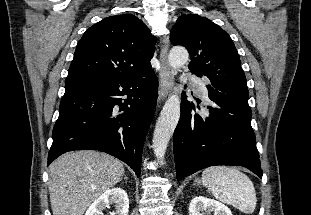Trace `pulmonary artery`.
I'll return each instance as SVG.
<instances>
[{
	"instance_id": "1",
	"label": "pulmonary artery",
	"mask_w": 311,
	"mask_h": 215,
	"mask_svg": "<svg viewBox=\"0 0 311 215\" xmlns=\"http://www.w3.org/2000/svg\"><path fill=\"white\" fill-rule=\"evenodd\" d=\"M191 81L195 85L197 94L204 99H208V90L205 82L197 78H192Z\"/></svg>"
}]
</instances>
